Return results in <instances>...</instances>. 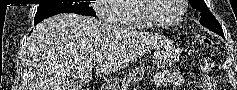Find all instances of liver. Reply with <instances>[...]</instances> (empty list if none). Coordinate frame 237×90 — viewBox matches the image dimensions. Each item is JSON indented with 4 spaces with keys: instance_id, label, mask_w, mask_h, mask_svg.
Wrapping results in <instances>:
<instances>
[{
    "instance_id": "6515ba94",
    "label": "liver",
    "mask_w": 237,
    "mask_h": 90,
    "mask_svg": "<svg viewBox=\"0 0 237 90\" xmlns=\"http://www.w3.org/2000/svg\"><path fill=\"white\" fill-rule=\"evenodd\" d=\"M160 36L120 28L118 22L58 14L35 26L26 42L27 90H82L97 74L127 68L157 46ZM79 86H77V82Z\"/></svg>"
}]
</instances>
